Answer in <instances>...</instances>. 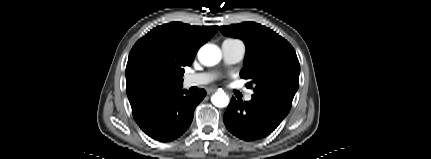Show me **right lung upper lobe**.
Instances as JSON below:
<instances>
[{
    "mask_svg": "<svg viewBox=\"0 0 431 159\" xmlns=\"http://www.w3.org/2000/svg\"><path fill=\"white\" fill-rule=\"evenodd\" d=\"M218 26L172 22L158 26L136 42L126 66L127 96L132 111L154 97L181 88L179 72L190 66L198 49Z\"/></svg>",
    "mask_w": 431,
    "mask_h": 159,
    "instance_id": "right-lung-upper-lobe-1",
    "label": "right lung upper lobe"
}]
</instances>
